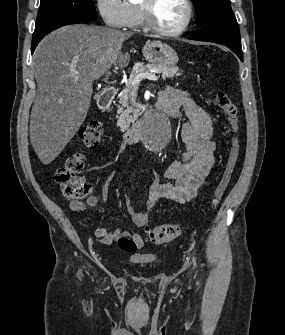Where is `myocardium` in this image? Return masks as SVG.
I'll use <instances>...</instances> for the list:
<instances>
[{"instance_id":"f54148a6","label":"myocardium","mask_w":285,"mask_h":335,"mask_svg":"<svg viewBox=\"0 0 285 335\" xmlns=\"http://www.w3.org/2000/svg\"><path fill=\"white\" fill-rule=\"evenodd\" d=\"M142 24L149 32L165 37H176L183 34L190 26L193 18V8L189 1H179L187 10V16L183 24L174 30H167L158 26L154 20L155 1H140Z\"/></svg>"}]
</instances>
